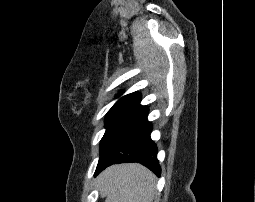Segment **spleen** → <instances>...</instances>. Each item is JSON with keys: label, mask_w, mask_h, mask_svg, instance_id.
Here are the masks:
<instances>
[{"label": "spleen", "mask_w": 255, "mask_h": 202, "mask_svg": "<svg viewBox=\"0 0 255 202\" xmlns=\"http://www.w3.org/2000/svg\"><path fill=\"white\" fill-rule=\"evenodd\" d=\"M105 202H152L155 176L139 164L113 166L101 177Z\"/></svg>", "instance_id": "spleen-1"}]
</instances>
